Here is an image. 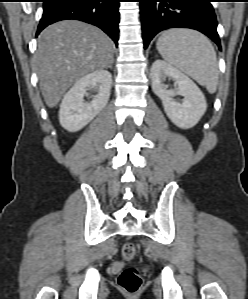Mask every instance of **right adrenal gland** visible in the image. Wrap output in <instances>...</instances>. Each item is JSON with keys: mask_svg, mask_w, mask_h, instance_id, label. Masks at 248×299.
<instances>
[{"mask_svg": "<svg viewBox=\"0 0 248 299\" xmlns=\"http://www.w3.org/2000/svg\"><path fill=\"white\" fill-rule=\"evenodd\" d=\"M112 64H113V62L108 66V68L112 69Z\"/></svg>", "mask_w": 248, "mask_h": 299, "instance_id": "obj_1", "label": "right adrenal gland"}]
</instances>
